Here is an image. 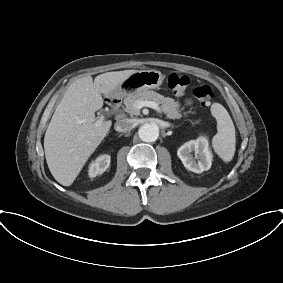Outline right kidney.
<instances>
[{
  "label": "right kidney",
  "mask_w": 283,
  "mask_h": 283,
  "mask_svg": "<svg viewBox=\"0 0 283 283\" xmlns=\"http://www.w3.org/2000/svg\"><path fill=\"white\" fill-rule=\"evenodd\" d=\"M110 165V156L101 155L89 166V176L96 177L98 174H102Z\"/></svg>",
  "instance_id": "1"
}]
</instances>
